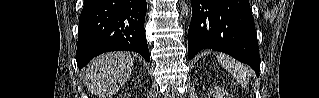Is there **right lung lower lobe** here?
Wrapping results in <instances>:
<instances>
[{
	"mask_svg": "<svg viewBox=\"0 0 319 98\" xmlns=\"http://www.w3.org/2000/svg\"><path fill=\"white\" fill-rule=\"evenodd\" d=\"M146 9V0H85L79 18L78 68L101 53L115 50L138 52L149 62Z\"/></svg>",
	"mask_w": 319,
	"mask_h": 98,
	"instance_id": "obj_1",
	"label": "right lung lower lobe"
}]
</instances>
